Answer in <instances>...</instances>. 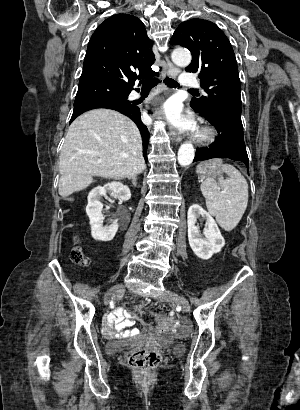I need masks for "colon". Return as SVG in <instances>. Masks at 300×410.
Segmentation results:
<instances>
[{
    "label": "colon",
    "instance_id": "1",
    "mask_svg": "<svg viewBox=\"0 0 300 410\" xmlns=\"http://www.w3.org/2000/svg\"><path fill=\"white\" fill-rule=\"evenodd\" d=\"M71 260L77 265L84 263V254L81 248L74 247L72 249ZM158 317L160 318L159 321L162 325L172 324L176 321V316L172 312H165L163 316L160 314ZM160 362V353L148 347L137 349L128 355L129 365L143 375L151 373L159 366Z\"/></svg>",
    "mask_w": 300,
    "mask_h": 410
}]
</instances>
